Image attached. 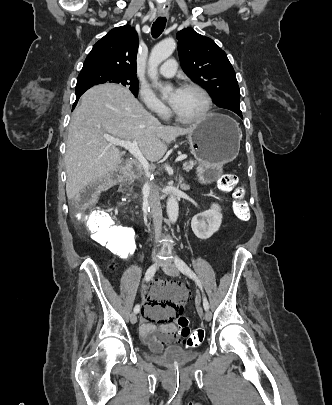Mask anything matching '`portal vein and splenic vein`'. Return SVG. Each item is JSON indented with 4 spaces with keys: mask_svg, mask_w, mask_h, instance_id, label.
Segmentation results:
<instances>
[{
    "mask_svg": "<svg viewBox=\"0 0 332 405\" xmlns=\"http://www.w3.org/2000/svg\"><path fill=\"white\" fill-rule=\"evenodd\" d=\"M104 137L109 143L123 147L126 150H128V152L132 154L140 162V164L144 168L146 175L150 176V165L146 160V158L143 156L142 152L140 151L137 142L121 140L119 138H115L110 135H105ZM184 159H186V155H181L176 158L175 162L182 161ZM183 166L185 167L184 164Z\"/></svg>",
    "mask_w": 332,
    "mask_h": 405,
    "instance_id": "portal-vein-and-splenic-vein-1",
    "label": "portal vein and splenic vein"
}]
</instances>
